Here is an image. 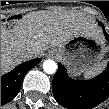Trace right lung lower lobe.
I'll list each match as a JSON object with an SVG mask.
<instances>
[{
    "label": "right lung lower lobe",
    "mask_w": 109,
    "mask_h": 109,
    "mask_svg": "<svg viewBox=\"0 0 109 109\" xmlns=\"http://www.w3.org/2000/svg\"><path fill=\"white\" fill-rule=\"evenodd\" d=\"M42 59L23 62L9 73L1 76V105L10 102L19 92L26 73Z\"/></svg>",
    "instance_id": "obj_1"
}]
</instances>
